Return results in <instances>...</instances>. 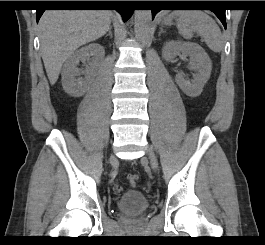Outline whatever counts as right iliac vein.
Listing matches in <instances>:
<instances>
[{"label":"right iliac vein","instance_id":"right-iliac-vein-1","mask_svg":"<svg viewBox=\"0 0 265 245\" xmlns=\"http://www.w3.org/2000/svg\"><path fill=\"white\" fill-rule=\"evenodd\" d=\"M111 160H112V161H115V160H116V158H115L114 156H112V157H111Z\"/></svg>","mask_w":265,"mask_h":245}]
</instances>
